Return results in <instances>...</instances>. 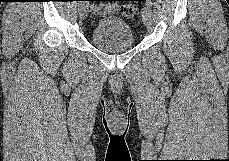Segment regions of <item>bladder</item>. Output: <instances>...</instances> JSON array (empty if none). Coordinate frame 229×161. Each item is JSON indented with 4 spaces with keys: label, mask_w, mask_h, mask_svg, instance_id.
<instances>
[{
    "label": "bladder",
    "mask_w": 229,
    "mask_h": 161,
    "mask_svg": "<svg viewBox=\"0 0 229 161\" xmlns=\"http://www.w3.org/2000/svg\"><path fill=\"white\" fill-rule=\"evenodd\" d=\"M90 39L97 48L107 52L127 50L135 43L130 25L119 17L100 18L93 26Z\"/></svg>",
    "instance_id": "1"
}]
</instances>
